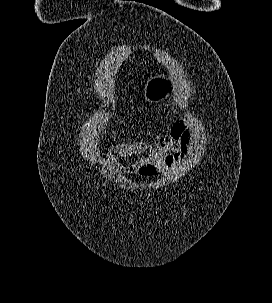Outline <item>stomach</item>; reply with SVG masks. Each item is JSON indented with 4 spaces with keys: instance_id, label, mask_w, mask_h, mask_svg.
Masks as SVG:
<instances>
[{
    "instance_id": "stomach-1",
    "label": "stomach",
    "mask_w": 272,
    "mask_h": 303,
    "mask_svg": "<svg viewBox=\"0 0 272 303\" xmlns=\"http://www.w3.org/2000/svg\"><path fill=\"white\" fill-rule=\"evenodd\" d=\"M175 89V81L167 74L151 76L143 90V96L148 103H158L166 99Z\"/></svg>"
}]
</instances>
